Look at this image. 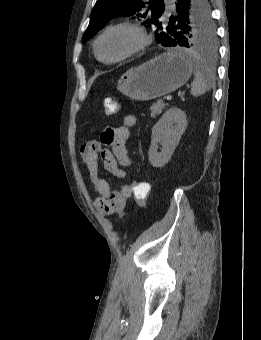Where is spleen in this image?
I'll return each instance as SVG.
<instances>
[{
	"instance_id": "obj_1",
	"label": "spleen",
	"mask_w": 261,
	"mask_h": 340,
	"mask_svg": "<svg viewBox=\"0 0 261 340\" xmlns=\"http://www.w3.org/2000/svg\"><path fill=\"white\" fill-rule=\"evenodd\" d=\"M195 78L192 82L191 94L199 96L207 92L214 85V77L208 69L195 64L194 65Z\"/></svg>"
}]
</instances>
